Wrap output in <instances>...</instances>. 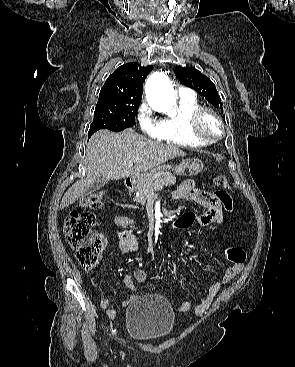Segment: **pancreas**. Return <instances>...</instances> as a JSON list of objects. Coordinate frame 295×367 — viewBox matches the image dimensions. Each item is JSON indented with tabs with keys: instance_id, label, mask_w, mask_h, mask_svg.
<instances>
[{
	"instance_id": "1",
	"label": "pancreas",
	"mask_w": 295,
	"mask_h": 367,
	"mask_svg": "<svg viewBox=\"0 0 295 367\" xmlns=\"http://www.w3.org/2000/svg\"><path fill=\"white\" fill-rule=\"evenodd\" d=\"M176 177L171 173H159L155 175L149 182L137 188L138 195L135 200L142 205L145 204L147 197L155 191H161L164 186L174 185Z\"/></svg>"
}]
</instances>
